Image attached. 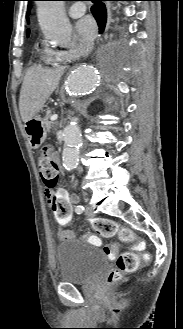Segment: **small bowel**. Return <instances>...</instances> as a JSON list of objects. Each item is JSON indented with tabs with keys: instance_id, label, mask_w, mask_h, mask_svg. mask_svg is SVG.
I'll return each instance as SVG.
<instances>
[{
	"instance_id": "obj_1",
	"label": "small bowel",
	"mask_w": 183,
	"mask_h": 329,
	"mask_svg": "<svg viewBox=\"0 0 183 329\" xmlns=\"http://www.w3.org/2000/svg\"><path fill=\"white\" fill-rule=\"evenodd\" d=\"M75 184L74 181H72ZM45 196L51 207L52 219H55L57 227H73L74 222L71 219L72 204L78 201V196L72 192H65L64 187H55L54 192L46 189ZM65 232L58 230L56 232V239L62 240ZM96 244H100V240L96 237L93 238Z\"/></svg>"
}]
</instances>
